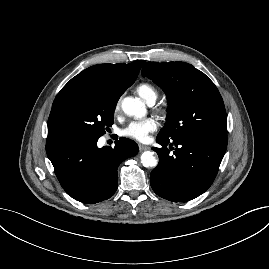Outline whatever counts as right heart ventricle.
I'll list each match as a JSON object with an SVG mask.
<instances>
[{
    "instance_id": "obj_1",
    "label": "right heart ventricle",
    "mask_w": 269,
    "mask_h": 269,
    "mask_svg": "<svg viewBox=\"0 0 269 269\" xmlns=\"http://www.w3.org/2000/svg\"><path fill=\"white\" fill-rule=\"evenodd\" d=\"M137 94L144 99L147 103L154 102L158 97V91L149 82H142L136 86Z\"/></svg>"
}]
</instances>
